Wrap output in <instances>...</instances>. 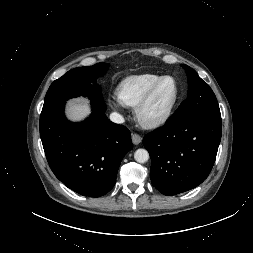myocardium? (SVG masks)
Returning <instances> with one entry per match:
<instances>
[{"mask_svg":"<svg viewBox=\"0 0 253 253\" xmlns=\"http://www.w3.org/2000/svg\"><path fill=\"white\" fill-rule=\"evenodd\" d=\"M167 79H171L175 85V92H174V95H173L171 101L169 102L168 106L166 107V109L164 110V112L160 116H158L154 119L146 118V116H145L146 109L150 105L151 101L153 100L155 94L157 93V91L160 88V86L162 85V83ZM179 92H180L179 84L173 76H170V75L162 76L151 87V89L147 92V94L143 97V99L136 106L135 116H136L138 123L143 128H146V129H155V128H158V127L162 126L163 124H165L172 115L174 107H175V105L178 101V98H179Z\"/></svg>","mask_w":253,"mask_h":253,"instance_id":"1","label":"myocardium"}]
</instances>
